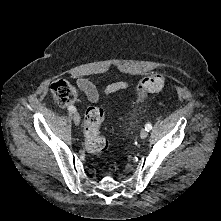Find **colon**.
<instances>
[{
    "label": "colon",
    "instance_id": "colon-1",
    "mask_svg": "<svg viewBox=\"0 0 221 221\" xmlns=\"http://www.w3.org/2000/svg\"><path fill=\"white\" fill-rule=\"evenodd\" d=\"M165 84L162 73H155L142 79L135 87L139 97H145L148 93L160 91ZM51 94L60 105L73 103L76 100L75 89L66 81L58 80L51 86ZM105 118L103 108L90 106L85 113V145L89 152L99 154L107 149L108 143L100 135V126Z\"/></svg>",
    "mask_w": 221,
    "mask_h": 221
}]
</instances>
